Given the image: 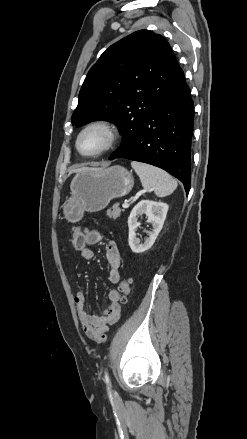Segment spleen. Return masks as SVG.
<instances>
[{"instance_id": "obj_1", "label": "spleen", "mask_w": 247, "mask_h": 439, "mask_svg": "<svg viewBox=\"0 0 247 439\" xmlns=\"http://www.w3.org/2000/svg\"><path fill=\"white\" fill-rule=\"evenodd\" d=\"M131 166L138 174L142 186L154 190L158 197L168 196L177 188V181L158 167L137 161H132Z\"/></svg>"}]
</instances>
